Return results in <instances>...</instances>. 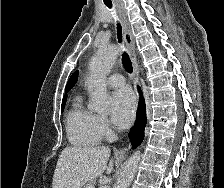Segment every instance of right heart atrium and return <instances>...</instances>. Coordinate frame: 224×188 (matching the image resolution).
Masks as SVG:
<instances>
[{"label":"right heart atrium","instance_id":"right-heart-atrium-1","mask_svg":"<svg viewBox=\"0 0 224 188\" xmlns=\"http://www.w3.org/2000/svg\"><path fill=\"white\" fill-rule=\"evenodd\" d=\"M97 125L100 130L101 135L108 136L111 132V127L109 121L104 117H97Z\"/></svg>","mask_w":224,"mask_h":188}]
</instances>
